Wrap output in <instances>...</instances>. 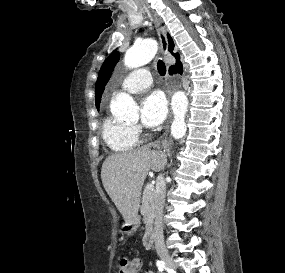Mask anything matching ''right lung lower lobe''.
Listing matches in <instances>:
<instances>
[{"label": "right lung lower lobe", "instance_id": "1", "mask_svg": "<svg viewBox=\"0 0 285 273\" xmlns=\"http://www.w3.org/2000/svg\"><path fill=\"white\" fill-rule=\"evenodd\" d=\"M169 73L170 74H173V73H180L181 74L182 73V64L179 61V59L177 60V63L174 66L170 67Z\"/></svg>", "mask_w": 285, "mask_h": 273}]
</instances>
